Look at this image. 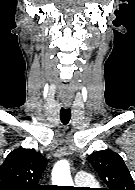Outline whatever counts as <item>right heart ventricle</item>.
I'll list each match as a JSON object with an SVG mask.
<instances>
[{
  "label": "right heart ventricle",
  "instance_id": "right-heart-ventricle-1",
  "mask_svg": "<svg viewBox=\"0 0 135 190\" xmlns=\"http://www.w3.org/2000/svg\"><path fill=\"white\" fill-rule=\"evenodd\" d=\"M92 185H96V183L95 182H93V184Z\"/></svg>",
  "mask_w": 135,
  "mask_h": 190
}]
</instances>
